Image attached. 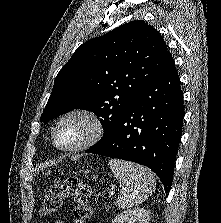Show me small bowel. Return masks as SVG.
Wrapping results in <instances>:
<instances>
[{"instance_id": "obj_1", "label": "small bowel", "mask_w": 221, "mask_h": 223, "mask_svg": "<svg viewBox=\"0 0 221 223\" xmlns=\"http://www.w3.org/2000/svg\"><path fill=\"white\" fill-rule=\"evenodd\" d=\"M57 223H65V222H63V221H59V222H57Z\"/></svg>"}]
</instances>
